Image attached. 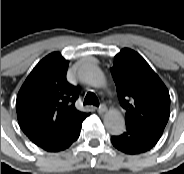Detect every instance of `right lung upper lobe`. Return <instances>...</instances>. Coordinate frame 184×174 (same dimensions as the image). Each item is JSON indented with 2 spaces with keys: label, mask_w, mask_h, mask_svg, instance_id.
<instances>
[{
  "label": "right lung upper lobe",
  "mask_w": 184,
  "mask_h": 174,
  "mask_svg": "<svg viewBox=\"0 0 184 174\" xmlns=\"http://www.w3.org/2000/svg\"><path fill=\"white\" fill-rule=\"evenodd\" d=\"M68 61L59 53L42 59L21 87L16 102L23 132L38 146L62 136L88 114L75 108L78 89L67 82Z\"/></svg>",
  "instance_id": "obj_1"
}]
</instances>
